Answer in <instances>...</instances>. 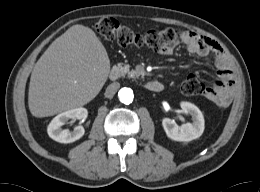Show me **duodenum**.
Here are the masks:
<instances>
[{
	"label": "duodenum",
	"mask_w": 260,
	"mask_h": 192,
	"mask_svg": "<svg viewBox=\"0 0 260 192\" xmlns=\"http://www.w3.org/2000/svg\"><path fill=\"white\" fill-rule=\"evenodd\" d=\"M119 72L117 69H112L109 73V78L114 81L118 78ZM145 88L151 92H160L163 89L162 83L159 81L153 80L145 84Z\"/></svg>",
	"instance_id": "obj_1"
}]
</instances>
